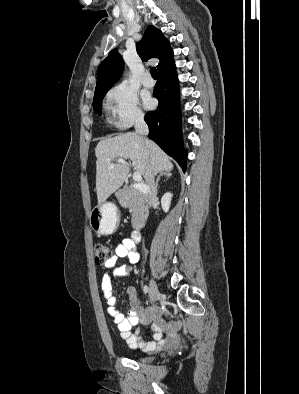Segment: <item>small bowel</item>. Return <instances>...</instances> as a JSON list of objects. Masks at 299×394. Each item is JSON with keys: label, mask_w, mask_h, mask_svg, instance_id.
I'll return each mask as SVG.
<instances>
[{"label": "small bowel", "mask_w": 299, "mask_h": 394, "mask_svg": "<svg viewBox=\"0 0 299 394\" xmlns=\"http://www.w3.org/2000/svg\"><path fill=\"white\" fill-rule=\"evenodd\" d=\"M135 242L132 237H124L116 245L112 258L103 266L101 288L108 304V313L114 320L121 337L132 349L140 348L146 353L168 348L178 341L176 335L179 329L178 322L166 323L162 318V310L159 307L146 309L143 307L136 287L127 288V296L130 303L128 316H124L115 306L117 292L113 280L117 276H124L130 272L131 265L139 261V255L134 250ZM119 259H127L129 265L118 266ZM138 324L151 325L152 340L140 336V329L133 330Z\"/></svg>", "instance_id": "c3829d8e"}]
</instances>
